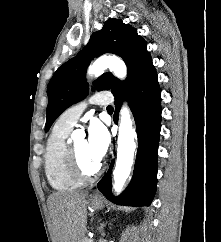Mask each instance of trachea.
Masks as SVG:
<instances>
[{
    "label": "trachea",
    "instance_id": "1",
    "mask_svg": "<svg viewBox=\"0 0 221 242\" xmlns=\"http://www.w3.org/2000/svg\"><path fill=\"white\" fill-rule=\"evenodd\" d=\"M107 111H113V107L111 105L107 106Z\"/></svg>",
    "mask_w": 221,
    "mask_h": 242
}]
</instances>
